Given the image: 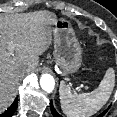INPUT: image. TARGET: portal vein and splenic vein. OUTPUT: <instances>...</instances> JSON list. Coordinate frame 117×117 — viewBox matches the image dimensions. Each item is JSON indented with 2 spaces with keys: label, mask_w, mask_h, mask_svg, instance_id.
Segmentation results:
<instances>
[{
  "label": "portal vein and splenic vein",
  "mask_w": 117,
  "mask_h": 117,
  "mask_svg": "<svg viewBox=\"0 0 117 117\" xmlns=\"http://www.w3.org/2000/svg\"><path fill=\"white\" fill-rule=\"evenodd\" d=\"M13 49H14V46L12 45V43H10V45H9V52H10V54H13Z\"/></svg>",
  "instance_id": "18ae733b"
}]
</instances>
